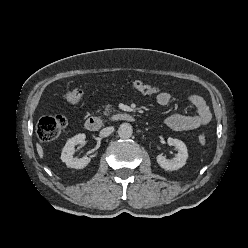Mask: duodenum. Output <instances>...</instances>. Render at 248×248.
Listing matches in <instances>:
<instances>
[{"label":"duodenum","mask_w":248,"mask_h":248,"mask_svg":"<svg viewBox=\"0 0 248 248\" xmlns=\"http://www.w3.org/2000/svg\"><path fill=\"white\" fill-rule=\"evenodd\" d=\"M134 116L127 112H116L108 116H92L85 121V128L88 131H97L109 124L118 122H133Z\"/></svg>","instance_id":"duodenum-1"}]
</instances>
